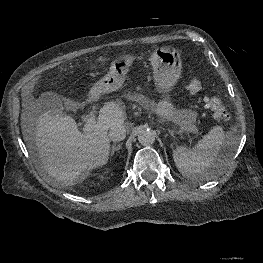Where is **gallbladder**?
<instances>
[{
  "instance_id": "gallbladder-1",
  "label": "gallbladder",
  "mask_w": 263,
  "mask_h": 263,
  "mask_svg": "<svg viewBox=\"0 0 263 263\" xmlns=\"http://www.w3.org/2000/svg\"><path fill=\"white\" fill-rule=\"evenodd\" d=\"M37 104L42 112H47L50 115H60L64 112L62 98L54 92L43 93L39 97Z\"/></svg>"
}]
</instances>
